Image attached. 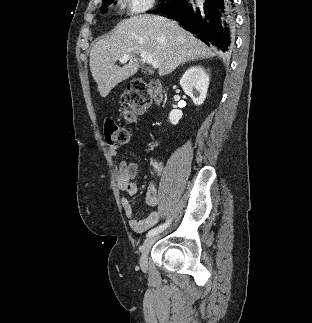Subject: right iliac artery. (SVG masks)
Instances as JSON below:
<instances>
[{
    "label": "right iliac artery",
    "instance_id": "82829eb1",
    "mask_svg": "<svg viewBox=\"0 0 312 323\" xmlns=\"http://www.w3.org/2000/svg\"><path fill=\"white\" fill-rule=\"evenodd\" d=\"M156 168H157V165H156ZM169 225V221L163 225H160V226H157L153 229H151L148 234H147V237H151V236H154L158 233H160L161 231H163L166 227H168Z\"/></svg>",
    "mask_w": 312,
    "mask_h": 323
}]
</instances>
